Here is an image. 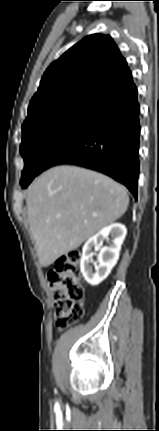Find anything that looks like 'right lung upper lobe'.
<instances>
[{
  "mask_svg": "<svg viewBox=\"0 0 159 431\" xmlns=\"http://www.w3.org/2000/svg\"><path fill=\"white\" fill-rule=\"evenodd\" d=\"M136 90L113 39L92 34L50 64L30 101L23 126L59 112L89 116Z\"/></svg>",
  "mask_w": 159,
  "mask_h": 431,
  "instance_id": "cb5924a9",
  "label": "right lung upper lobe"
}]
</instances>
